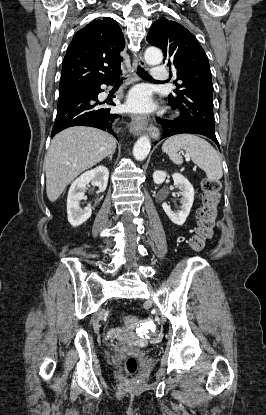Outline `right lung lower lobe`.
<instances>
[{"instance_id": "right-lung-lower-lobe-1", "label": "right lung lower lobe", "mask_w": 266, "mask_h": 415, "mask_svg": "<svg viewBox=\"0 0 266 415\" xmlns=\"http://www.w3.org/2000/svg\"><path fill=\"white\" fill-rule=\"evenodd\" d=\"M118 77L96 83L78 90L59 94L57 105V116L52 130V137L61 130L72 126H91L107 131L115 138L113 125L117 118L121 117L104 107L105 102H99L97 96L103 90L102 84L113 85ZM110 105L115 106L114 102Z\"/></svg>"}]
</instances>
